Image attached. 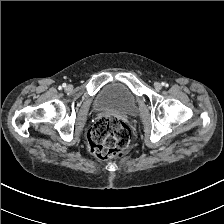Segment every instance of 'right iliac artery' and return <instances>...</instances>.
<instances>
[{"label": "right iliac artery", "mask_w": 224, "mask_h": 224, "mask_svg": "<svg viewBox=\"0 0 224 224\" xmlns=\"http://www.w3.org/2000/svg\"><path fill=\"white\" fill-rule=\"evenodd\" d=\"M62 87H66V84L64 83V84L62 85Z\"/></svg>", "instance_id": "1"}]
</instances>
